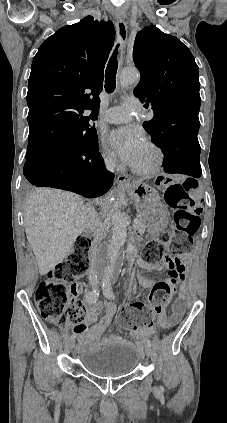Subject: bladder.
<instances>
[{"instance_id":"31cf9c89","label":"bladder","mask_w":227,"mask_h":423,"mask_svg":"<svg viewBox=\"0 0 227 423\" xmlns=\"http://www.w3.org/2000/svg\"><path fill=\"white\" fill-rule=\"evenodd\" d=\"M141 360L131 343H113L89 350L79 364L99 378H120L130 375Z\"/></svg>"}]
</instances>
